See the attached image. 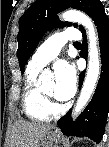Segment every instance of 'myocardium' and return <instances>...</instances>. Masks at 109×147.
<instances>
[{
    "mask_svg": "<svg viewBox=\"0 0 109 147\" xmlns=\"http://www.w3.org/2000/svg\"><path fill=\"white\" fill-rule=\"evenodd\" d=\"M40 91H41L48 107L52 108V102H53L52 94L45 92L43 89H40Z\"/></svg>",
    "mask_w": 109,
    "mask_h": 147,
    "instance_id": "obj_1",
    "label": "myocardium"
}]
</instances>
